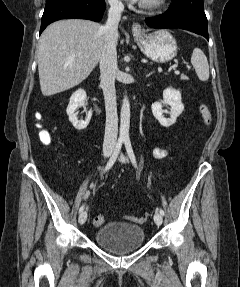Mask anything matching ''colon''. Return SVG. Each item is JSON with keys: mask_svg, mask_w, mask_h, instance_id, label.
I'll return each instance as SVG.
<instances>
[{"mask_svg": "<svg viewBox=\"0 0 240 287\" xmlns=\"http://www.w3.org/2000/svg\"><path fill=\"white\" fill-rule=\"evenodd\" d=\"M200 112L204 119V122L208 124L211 120V113L209 107L205 104H201ZM39 137L44 144H49L51 142V135L47 130L42 129L39 133ZM127 219L136 223H143L146 220L145 217H136V216H127ZM104 221L105 217L103 215H97L93 219V222L96 226L102 225Z\"/></svg>", "mask_w": 240, "mask_h": 287, "instance_id": "5ec220e1", "label": "colon"}]
</instances>
